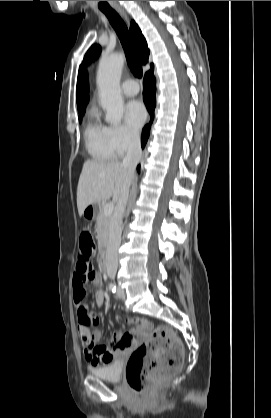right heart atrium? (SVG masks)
I'll use <instances>...</instances> for the list:
<instances>
[{"label": "right heart atrium", "mask_w": 271, "mask_h": 418, "mask_svg": "<svg viewBox=\"0 0 271 418\" xmlns=\"http://www.w3.org/2000/svg\"><path fill=\"white\" fill-rule=\"evenodd\" d=\"M109 138L116 155H123L135 149L139 142L138 134L123 124L110 126Z\"/></svg>", "instance_id": "d8ad5b80"}]
</instances>
